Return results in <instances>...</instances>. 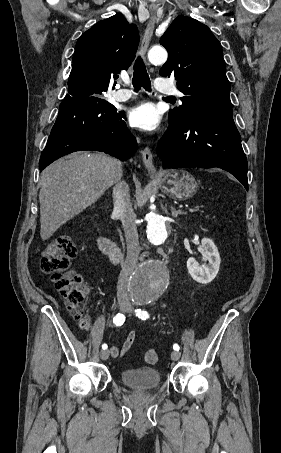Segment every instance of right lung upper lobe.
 I'll return each instance as SVG.
<instances>
[{
	"mask_svg": "<svg viewBox=\"0 0 281 453\" xmlns=\"http://www.w3.org/2000/svg\"><path fill=\"white\" fill-rule=\"evenodd\" d=\"M139 34L121 15L102 20L78 39L64 99L103 97L115 88L113 74L127 70L135 58Z\"/></svg>",
	"mask_w": 281,
	"mask_h": 453,
	"instance_id": "1",
	"label": "right lung upper lobe"
}]
</instances>
